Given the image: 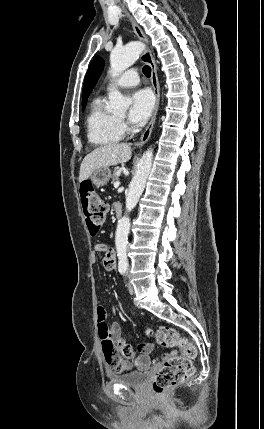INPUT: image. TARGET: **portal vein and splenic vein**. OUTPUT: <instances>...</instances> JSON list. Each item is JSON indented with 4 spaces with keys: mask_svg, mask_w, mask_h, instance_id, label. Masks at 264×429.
<instances>
[{
    "mask_svg": "<svg viewBox=\"0 0 264 429\" xmlns=\"http://www.w3.org/2000/svg\"><path fill=\"white\" fill-rule=\"evenodd\" d=\"M120 186V182L119 181H116L115 183H114V187L115 188H118Z\"/></svg>",
    "mask_w": 264,
    "mask_h": 429,
    "instance_id": "1",
    "label": "portal vein and splenic vein"
}]
</instances>
